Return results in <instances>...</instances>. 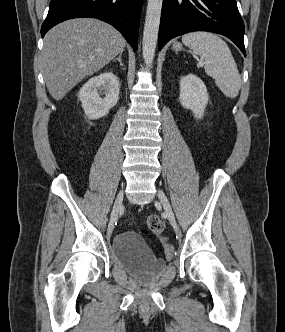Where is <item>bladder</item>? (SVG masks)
<instances>
[{"mask_svg":"<svg viewBox=\"0 0 285 332\" xmlns=\"http://www.w3.org/2000/svg\"><path fill=\"white\" fill-rule=\"evenodd\" d=\"M111 254L116 264L144 281L158 276L166 268V263L157 258L134 232L117 234L111 243Z\"/></svg>","mask_w":285,"mask_h":332,"instance_id":"1","label":"bladder"}]
</instances>
